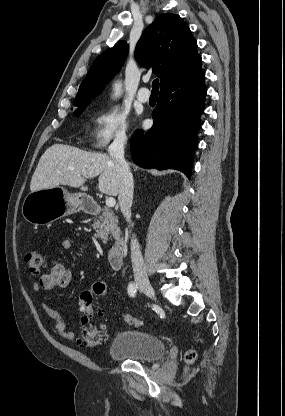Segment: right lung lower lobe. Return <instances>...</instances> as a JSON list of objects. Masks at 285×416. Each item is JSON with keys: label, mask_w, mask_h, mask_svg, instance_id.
Instances as JSON below:
<instances>
[{"label": "right lung lower lobe", "mask_w": 285, "mask_h": 416, "mask_svg": "<svg viewBox=\"0 0 285 416\" xmlns=\"http://www.w3.org/2000/svg\"><path fill=\"white\" fill-rule=\"evenodd\" d=\"M204 79L202 71L160 90L152 128L146 133L136 130L132 135L131 154L137 165L176 169L190 179L207 92Z\"/></svg>", "instance_id": "1"}]
</instances>
